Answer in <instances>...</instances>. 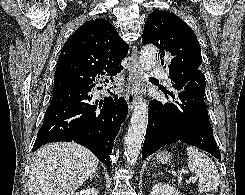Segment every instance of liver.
I'll return each instance as SVG.
<instances>
[{
	"mask_svg": "<svg viewBox=\"0 0 245 195\" xmlns=\"http://www.w3.org/2000/svg\"><path fill=\"white\" fill-rule=\"evenodd\" d=\"M99 160L74 142L50 143L34 153L30 195H72L93 173Z\"/></svg>",
	"mask_w": 245,
	"mask_h": 195,
	"instance_id": "obj_1",
	"label": "liver"
}]
</instances>
